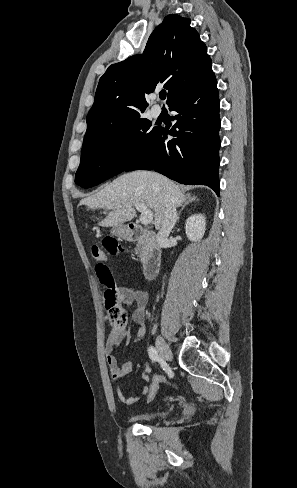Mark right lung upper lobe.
<instances>
[{"label": "right lung upper lobe", "mask_w": 297, "mask_h": 488, "mask_svg": "<svg viewBox=\"0 0 297 488\" xmlns=\"http://www.w3.org/2000/svg\"><path fill=\"white\" fill-rule=\"evenodd\" d=\"M212 75L206 45L190 27V19L170 14L150 35L143 55L109 66L100 78L84 138L140 118L148 105L145 94L153 92L157 84L168 90L170 106Z\"/></svg>", "instance_id": "cb5924a9"}]
</instances>
